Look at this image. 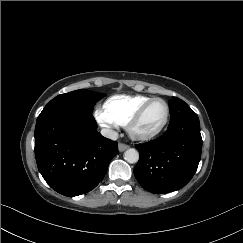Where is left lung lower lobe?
<instances>
[{"label":"left lung lower lobe","instance_id":"obj_1","mask_svg":"<svg viewBox=\"0 0 243 243\" xmlns=\"http://www.w3.org/2000/svg\"><path fill=\"white\" fill-rule=\"evenodd\" d=\"M136 148L140 158L134 175L145 190L161 194L181 189L193 177L201 158L197 114L171 122L162 136Z\"/></svg>","mask_w":243,"mask_h":243}]
</instances>
